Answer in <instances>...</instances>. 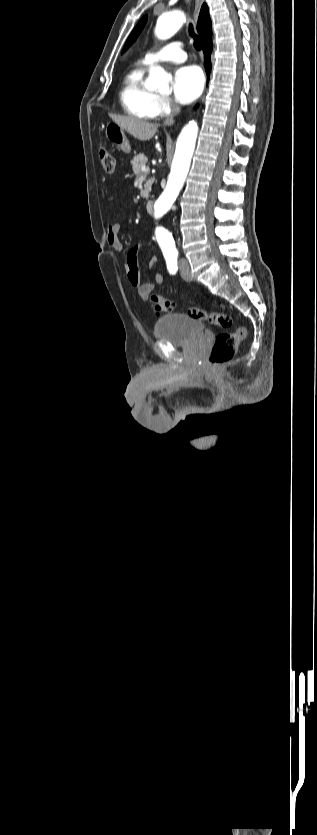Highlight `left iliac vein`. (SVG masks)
<instances>
[{
    "label": "left iliac vein",
    "mask_w": 317,
    "mask_h": 835,
    "mask_svg": "<svg viewBox=\"0 0 317 835\" xmlns=\"http://www.w3.org/2000/svg\"><path fill=\"white\" fill-rule=\"evenodd\" d=\"M179 267H180V274H181L182 278L186 281H191L192 276H191V273H190V267H189L188 261L184 258L181 259Z\"/></svg>",
    "instance_id": "1"
}]
</instances>
